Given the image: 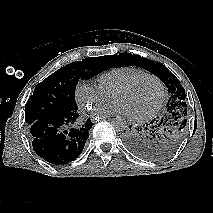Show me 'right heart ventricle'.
I'll use <instances>...</instances> for the list:
<instances>
[{
    "label": "right heart ventricle",
    "instance_id": "obj_1",
    "mask_svg": "<svg viewBox=\"0 0 213 213\" xmlns=\"http://www.w3.org/2000/svg\"><path fill=\"white\" fill-rule=\"evenodd\" d=\"M144 74L147 72L136 66L115 67L100 74L98 82L100 87L111 96L118 87Z\"/></svg>",
    "mask_w": 213,
    "mask_h": 213
}]
</instances>
